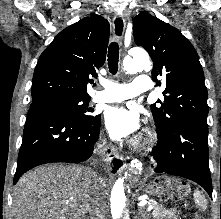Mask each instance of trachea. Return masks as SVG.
I'll return each instance as SVG.
<instances>
[{"mask_svg": "<svg viewBox=\"0 0 221 219\" xmlns=\"http://www.w3.org/2000/svg\"><path fill=\"white\" fill-rule=\"evenodd\" d=\"M119 62V45L117 42H112L108 48V67L111 74H116L118 71Z\"/></svg>", "mask_w": 221, "mask_h": 219, "instance_id": "3493384b", "label": "trachea"}]
</instances>
